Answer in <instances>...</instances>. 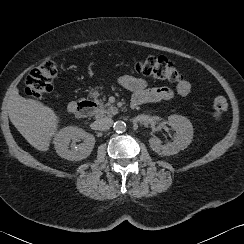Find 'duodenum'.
I'll use <instances>...</instances> for the list:
<instances>
[{
    "label": "duodenum",
    "instance_id": "obj_1",
    "mask_svg": "<svg viewBox=\"0 0 244 244\" xmlns=\"http://www.w3.org/2000/svg\"><path fill=\"white\" fill-rule=\"evenodd\" d=\"M133 108H136L132 105ZM95 109L94 103L90 101L75 100L69 103L68 110L70 112L88 115Z\"/></svg>",
    "mask_w": 244,
    "mask_h": 244
}]
</instances>
